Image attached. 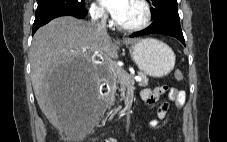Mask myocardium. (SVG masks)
<instances>
[{"label": "myocardium", "mask_w": 227, "mask_h": 142, "mask_svg": "<svg viewBox=\"0 0 227 142\" xmlns=\"http://www.w3.org/2000/svg\"><path fill=\"white\" fill-rule=\"evenodd\" d=\"M139 4L143 8V18L142 20L134 25H123L120 24L119 22H116L115 25L119 30L125 31V32H136V31H141L148 27L152 21L153 17V11L150 3L148 0H137Z\"/></svg>", "instance_id": "obj_1"}]
</instances>
